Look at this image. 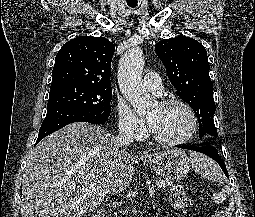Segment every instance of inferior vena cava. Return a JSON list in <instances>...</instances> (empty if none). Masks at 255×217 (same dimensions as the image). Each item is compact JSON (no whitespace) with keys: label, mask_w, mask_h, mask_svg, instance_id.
I'll return each instance as SVG.
<instances>
[{"label":"inferior vena cava","mask_w":255,"mask_h":217,"mask_svg":"<svg viewBox=\"0 0 255 217\" xmlns=\"http://www.w3.org/2000/svg\"><path fill=\"white\" fill-rule=\"evenodd\" d=\"M134 140V134L130 129H120L118 136L114 140V145L112 149V171L116 169L118 161L119 148L122 146L130 145Z\"/></svg>","instance_id":"obj_1"}]
</instances>
